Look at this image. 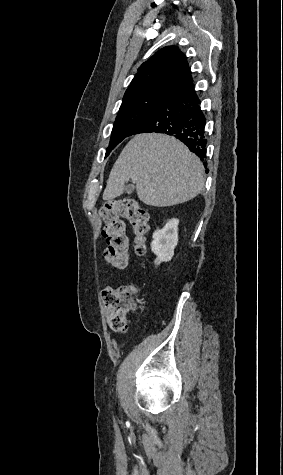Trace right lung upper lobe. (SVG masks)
<instances>
[{"instance_id": "right-lung-upper-lobe-1", "label": "right lung upper lobe", "mask_w": 283, "mask_h": 475, "mask_svg": "<svg viewBox=\"0 0 283 475\" xmlns=\"http://www.w3.org/2000/svg\"><path fill=\"white\" fill-rule=\"evenodd\" d=\"M193 81L184 54L176 46L156 52L139 68L123 100L159 89H178Z\"/></svg>"}]
</instances>
